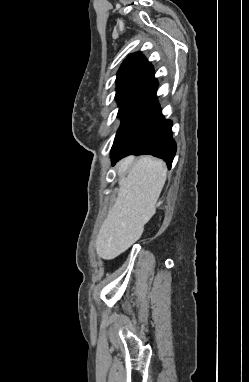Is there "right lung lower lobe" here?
Returning a JSON list of instances; mask_svg holds the SVG:
<instances>
[{
  "instance_id": "obj_1",
  "label": "right lung lower lobe",
  "mask_w": 249,
  "mask_h": 382,
  "mask_svg": "<svg viewBox=\"0 0 249 382\" xmlns=\"http://www.w3.org/2000/svg\"><path fill=\"white\" fill-rule=\"evenodd\" d=\"M171 128L172 122L164 119L160 105L154 103L127 132L115 139L112 165L128 155L149 154L162 158L170 168L176 153Z\"/></svg>"
}]
</instances>
